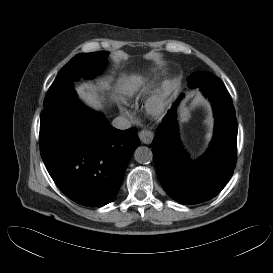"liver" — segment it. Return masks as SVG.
Masks as SVG:
<instances>
[{"label":"liver","instance_id":"6515ba94","mask_svg":"<svg viewBox=\"0 0 273 273\" xmlns=\"http://www.w3.org/2000/svg\"><path fill=\"white\" fill-rule=\"evenodd\" d=\"M132 83H136V84H141V81L139 78H132L131 79ZM132 85L129 82V80H124L121 79V88L123 90L125 89H131ZM76 90L78 91L80 97L82 98V100L90 107L94 108V109H98L100 108V103L98 101V93L92 89L89 88L87 86H78L76 88Z\"/></svg>","mask_w":273,"mask_h":273}]
</instances>
